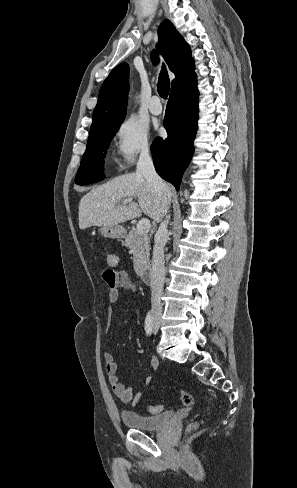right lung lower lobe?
Returning <instances> with one entry per match:
<instances>
[{
  "label": "right lung lower lobe",
  "instance_id": "1",
  "mask_svg": "<svg viewBox=\"0 0 297 488\" xmlns=\"http://www.w3.org/2000/svg\"><path fill=\"white\" fill-rule=\"evenodd\" d=\"M198 89L196 77L171 89L164 126L166 139L156 138L151 145L157 173L179 190L184 170L193 155L197 131Z\"/></svg>",
  "mask_w": 297,
  "mask_h": 488
}]
</instances>
